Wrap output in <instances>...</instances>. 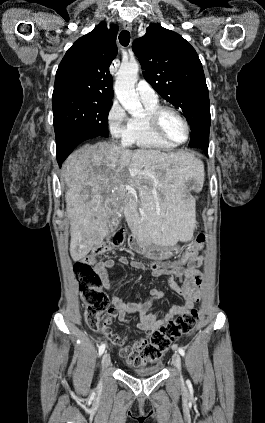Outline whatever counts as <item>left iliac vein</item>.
Here are the masks:
<instances>
[{"mask_svg":"<svg viewBox=\"0 0 265 423\" xmlns=\"http://www.w3.org/2000/svg\"><path fill=\"white\" fill-rule=\"evenodd\" d=\"M172 363L179 373H181V357L178 353H174Z\"/></svg>","mask_w":265,"mask_h":423,"instance_id":"left-iliac-vein-1","label":"left iliac vein"}]
</instances>
